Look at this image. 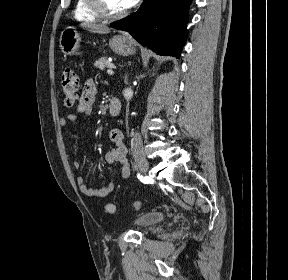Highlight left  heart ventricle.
<instances>
[{
  "label": "left heart ventricle",
  "mask_w": 288,
  "mask_h": 280,
  "mask_svg": "<svg viewBox=\"0 0 288 280\" xmlns=\"http://www.w3.org/2000/svg\"><path fill=\"white\" fill-rule=\"evenodd\" d=\"M105 7L110 13H118L123 11L120 0H104Z\"/></svg>",
  "instance_id": "b2bd125f"
}]
</instances>
